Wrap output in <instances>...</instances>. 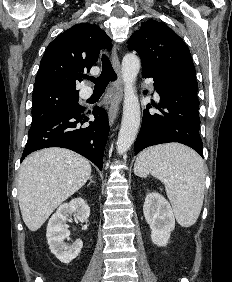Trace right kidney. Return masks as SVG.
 <instances>
[{
	"label": "right kidney",
	"mask_w": 232,
	"mask_h": 282,
	"mask_svg": "<svg viewBox=\"0 0 232 282\" xmlns=\"http://www.w3.org/2000/svg\"><path fill=\"white\" fill-rule=\"evenodd\" d=\"M74 214L80 222L86 221L90 216V208L82 198L72 199L69 203L60 205L56 213L48 222L46 237L51 252L63 263H69L80 253L83 242L78 239L73 244L67 245L64 240L70 233L66 229V219Z\"/></svg>",
	"instance_id": "right-kidney-1"
}]
</instances>
